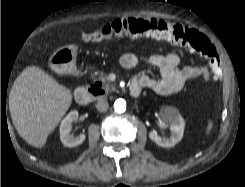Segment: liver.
<instances>
[{"mask_svg":"<svg viewBox=\"0 0 245 187\" xmlns=\"http://www.w3.org/2000/svg\"><path fill=\"white\" fill-rule=\"evenodd\" d=\"M72 103V93L37 66L25 68L9 94V110L18 134L42 148Z\"/></svg>","mask_w":245,"mask_h":187,"instance_id":"obj_1","label":"liver"}]
</instances>
